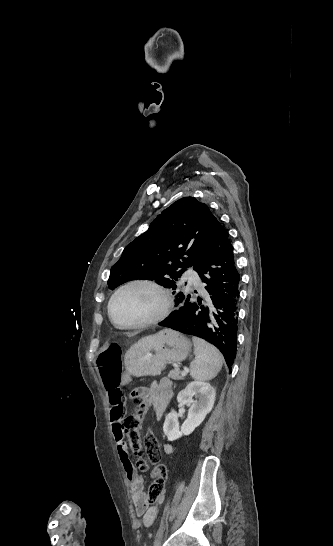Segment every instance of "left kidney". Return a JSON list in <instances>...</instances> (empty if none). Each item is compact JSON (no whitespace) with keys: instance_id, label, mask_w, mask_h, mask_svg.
<instances>
[{"instance_id":"obj_1","label":"left kidney","mask_w":333,"mask_h":546,"mask_svg":"<svg viewBox=\"0 0 333 546\" xmlns=\"http://www.w3.org/2000/svg\"><path fill=\"white\" fill-rule=\"evenodd\" d=\"M215 389L208 383L191 382L184 390L179 392L177 401L180 404H188L187 419L179 427L178 417L175 413H169L163 425V431L169 441L176 440L183 435H190L212 410L215 402ZM195 396V400L193 399Z\"/></svg>"}]
</instances>
